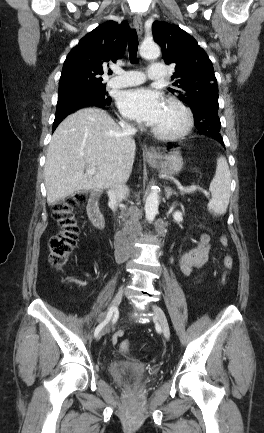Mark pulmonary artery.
I'll return each instance as SVG.
<instances>
[{
    "mask_svg": "<svg viewBox=\"0 0 264 433\" xmlns=\"http://www.w3.org/2000/svg\"><path fill=\"white\" fill-rule=\"evenodd\" d=\"M116 77L108 81V86L114 88H123L135 86L145 81V77L138 70H116ZM165 77V68L161 64H151L149 66L148 78L150 80H161Z\"/></svg>",
    "mask_w": 264,
    "mask_h": 433,
    "instance_id": "pulmonary-artery-1",
    "label": "pulmonary artery"
}]
</instances>
